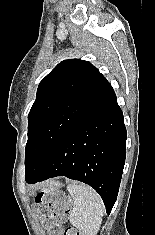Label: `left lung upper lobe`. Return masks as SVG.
Segmentation results:
<instances>
[{"label":"left lung upper lobe","instance_id":"left-lung-upper-lobe-1","mask_svg":"<svg viewBox=\"0 0 155 235\" xmlns=\"http://www.w3.org/2000/svg\"><path fill=\"white\" fill-rule=\"evenodd\" d=\"M109 86L91 63L80 59L62 61L40 82L28 115L25 176L39 171Z\"/></svg>","mask_w":155,"mask_h":235}]
</instances>
